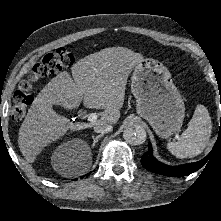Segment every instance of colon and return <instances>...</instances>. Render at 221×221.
I'll use <instances>...</instances> for the list:
<instances>
[{
    "mask_svg": "<svg viewBox=\"0 0 221 221\" xmlns=\"http://www.w3.org/2000/svg\"><path fill=\"white\" fill-rule=\"evenodd\" d=\"M74 63L73 55L65 48L47 53L34 65L26 79L20 82L13 96L12 118L20 121L33 102L34 85L45 78L60 72Z\"/></svg>",
    "mask_w": 221,
    "mask_h": 221,
    "instance_id": "colon-1",
    "label": "colon"
}]
</instances>
